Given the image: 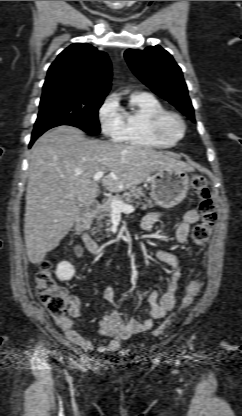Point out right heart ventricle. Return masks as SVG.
Masks as SVG:
<instances>
[{
  "mask_svg": "<svg viewBox=\"0 0 242 416\" xmlns=\"http://www.w3.org/2000/svg\"><path fill=\"white\" fill-rule=\"evenodd\" d=\"M164 110L163 104L153 94L133 92L128 106L121 108L123 129L116 141L151 148L172 147L174 142L159 138L151 127L154 116Z\"/></svg>",
  "mask_w": 242,
  "mask_h": 416,
  "instance_id": "right-heart-ventricle-1",
  "label": "right heart ventricle"
}]
</instances>
